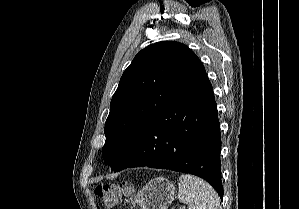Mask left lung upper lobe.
<instances>
[{
    "label": "left lung upper lobe",
    "mask_w": 299,
    "mask_h": 209,
    "mask_svg": "<svg viewBox=\"0 0 299 209\" xmlns=\"http://www.w3.org/2000/svg\"><path fill=\"white\" fill-rule=\"evenodd\" d=\"M204 70L186 45L174 41L141 50L124 71L110 103L102 157L116 168L159 109Z\"/></svg>",
    "instance_id": "left-lung-upper-lobe-1"
}]
</instances>
